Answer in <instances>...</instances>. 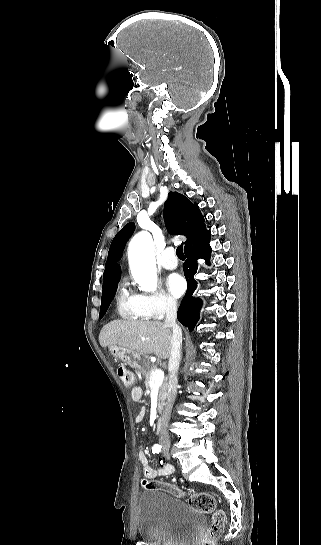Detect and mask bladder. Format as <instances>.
<instances>
[{"label": "bladder", "mask_w": 321, "mask_h": 545, "mask_svg": "<svg viewBox=\"0 0 321 545\" xmlns=\"http://www.w3.org/2000/svg\"><path fill=\"white\" fill-rule=\"evenodd\" d=\"M206 525L203 512L170 493L150 489L137 502V529L148 545H192Z\"/></svg>", "instance_id": "obj_1"}]
</instances>
